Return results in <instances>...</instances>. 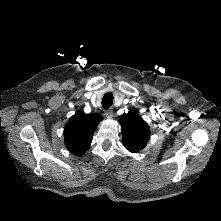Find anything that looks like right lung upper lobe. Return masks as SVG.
Here are the masks:
<instances>
[{"instance_id": "obj_1", "label": "right lung upper lobe", "mask_w": 221, "mask_h": 221, "mask_svg": "<svg viewBox=\"0 0 221 221\" xmlns=\"http://www.w3.org/2000/svg\"><path fill=\"white\" fill-rule=\"evenodd\" d=\"M103 117L98 113L84 114L77 111L64 129L65 145L76 155L85 153L92 142L94 131Z\"/></svg>"}]
</instances>
